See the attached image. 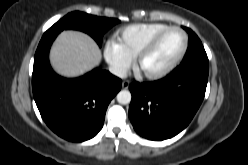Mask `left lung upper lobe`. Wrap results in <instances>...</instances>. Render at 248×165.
I'll list each match as a JSON object with an SVG mask.
<instances>
[{
	"label": "left lung upper lobe",
	"mask_w": 248,
	"mask_h": 165,
	"mask_svg": "<svg viewBox=\"0 0 248 165\" xmlns=\"http://www.w3.org/2000/svg\"><path fill=\"white\" fill-rule=\"evenodd\" d=\"M184 29L189 34V42H188V49L183 60L188 59L196 54L206 53L198 36L191 29L187 27H184Z\"/></svg>",
	"instance_id": "obj_1"
}]
</instances>
